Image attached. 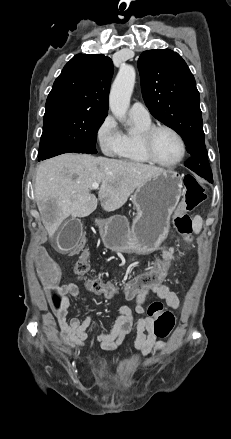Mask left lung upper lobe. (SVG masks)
I'll return each mask as SVG.
<instances>
[{
  "mask_svg": "<svg viewBox=\"0 0 231 439\" xmlns=\"http://www.w3.org/2000/svg\"><path fill=\"white\" fill-rule=\"evenodd\" d=\"M138 68L150 113L182 136L191 155L185 166L212 182L200 96L187 64L173 50L154 49L141 54Z\"/></svg>",
  "mask_w": 231,
  "mask_h": 439,
  "instance_id": "1",
  "label": "left lung upper lobe"
}]
</instances>
